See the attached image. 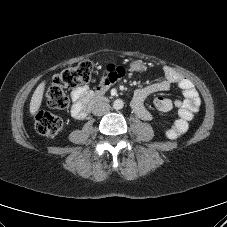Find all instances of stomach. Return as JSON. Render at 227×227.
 Returning a JSON list of instances; mask_svg holds the SVG:
<instances>
[{
  "mask_svg": "<svg viewBox=\"0 0 227 227\" xmlns=\"http://www.w3.org/2000/svg\"><path fill=\"white\" fill-rule=\"evenodd\" d=\"M146 68H147L146 64L144 62H142L141 60H135L130 63L131 71L141 72V71L146 70Z\"/></svg>",
  "mask_w": 227,
  "mask_h": 227,
  "instance_id": "stomach-1",
  "label": "stomach"
}]
</instances>
